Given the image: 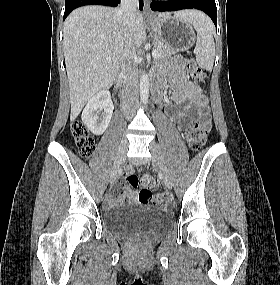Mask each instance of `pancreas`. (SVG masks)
<instances>
[{
    "mask_svg": "<svg viewBox=\"0 0 280 285\" xmlns=\"http://www.w3.org/2000/svg\"><path fill=\"white\" fill-rule=\"evenodd\" d=\"M153 45H154V49L157 50L159 53V56L157 58L169 57L172 54H175L177 52V50L167 46L165 43H163L157 38L154 39Z\"/></svg>",
    "mask_w": 280,
    "mask_h": 285,
    "instance_id": "1",
    "label": "pancreas"
}]
</instances>
